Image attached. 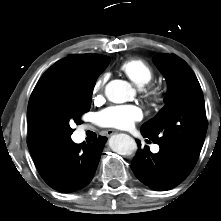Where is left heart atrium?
<instances>
[{
    "mask_svg": "<svg viewBox=\"0 0 221 221\" xmlns=\"http://www.w3.org/2000/svg\"><path fill=\"white\" fill-rule=\"evenodd\" d=\"M143 117L141 109L135 105L108 107L99 114V121L106 127L130 129Z\"/></svg>",
    "mask_w": 221,
    "mask_h": 221,
    "instance_id": "1",
    "label": "left heart atrium"
}]
</instances>
